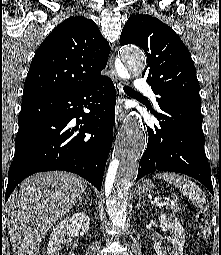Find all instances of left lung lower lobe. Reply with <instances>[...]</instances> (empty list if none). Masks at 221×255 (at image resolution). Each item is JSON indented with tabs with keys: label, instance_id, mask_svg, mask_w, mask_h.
Wrapping results in <instances>:
<instances>
[{
	"label": "left lung lower lobe",
	"instance_id": "1",
	"mask_svg": "<svg viewBox=\"0 0 221 255\" xmlns=\"http://www.w3.org/2000/svg\"><path fill=\"white\" fill-rule=\"evenodd\" d=\"M159 120L154 129L147 127L149 139L138 169L137 180L156 170L191 176L213 194L211 171L205 155L203 117L173 104L159 105Z\"/></svg>",
	"mask_w": 221,
	"mask_h": 255
}]
</instances>
